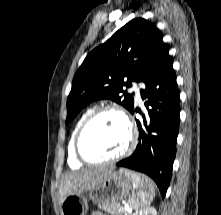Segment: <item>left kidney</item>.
<instances>
[{"mask_svg": "<svg viewBox=\"0 0 221 215\" xmlns=\"http://www.w3.org/2000/svg\"><path fill=\"white\" fill-rule=\"evenodd\" d=\"M132 215H157V211L153 207H147L142 210L136 211Z\"/></svg>", "mask_w": 221, "mask_h": 215, "instance_id": "obj_1", "label": "left kidney"}]
</instances>
